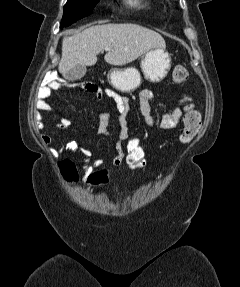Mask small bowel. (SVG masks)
<instances>
[{"mask_svg": "<svg viewBox=\"0 0 240 287\" xmlns=\"http://www.w3.org/2000/svg\"><path fill=\"white\" fill-rule=\"evenodd\" d=\"M63 84L49 76L45 79V85L41 86L36 95V107L39 111L51 112L52 106L48 99L52 96L53 91L62 87ZM96 98L102 100L105 97L110 98L118 112V121L120 125L119 135L117 137L116 150L112 158V166L119 167L125 163L124 143L128 137V113H129V99L115 92L112 89H100L98 86L89 91ZM153 98V92L149 89H144L139 94V111L148 127L158 125L165 130H172L177 128L180 121L183 119L187 106H192V98L184 93L181 96V106L176 107L170 113H164L157 119L152 115L150 101ZM111 115L108 111H102L98 115V132L101 134H109V123ZM72 121L69 118L63 117L57 124L59 130H67L71 127ZM44 141L50 143L52 138L45 136ZM63 150L77 152L82 158V169L86 175H91L94 169L100 168L104 160L102 157H94L93 153L84 147L78 146L75 142H69L62 147Z\"/></svg>", "mask_w": 240, "mask_h": 287, "instance_id": "small-bowel-1", "label": "small bowel"}]
</instances>
